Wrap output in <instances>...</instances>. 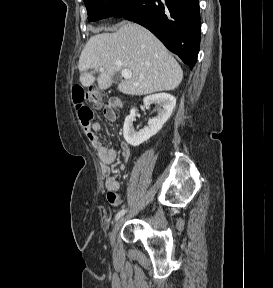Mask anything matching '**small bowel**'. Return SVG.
<instances>
[{
  "label": "small bowel",
  "instance_id": "obj_1",
  "mask_svg": "<svg viewBox=\"0 0 273 288\" xmlns=\"http://www.w3.org/2000/svg\"><path fill=\"white\" fill-rule=\"evenodd\" d=\"M120 103L117 101L110 102L103 110L104 117L109 121L116 119V109L119 108ZM101 129V125L97 122L86 128L87 136L92 145L97 151L98 158L101 162V171L104 177V186L107 191V200L113 205L117 206L122 203V198L119 194V181L112 173V164L116 159V151L112 148L105 147L97 136V132ZM121 155L124 160H127L130 155V149L127 144H123L121 148Z\"/></svg>",
  "mask_w": 273,
  "mask_h": 288
}]
</instances>
